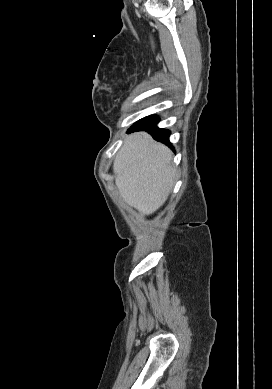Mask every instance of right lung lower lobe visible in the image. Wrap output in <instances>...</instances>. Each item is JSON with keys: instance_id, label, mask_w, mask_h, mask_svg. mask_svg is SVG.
<instances>
[{"instance_id": "obj_1", "label": "right lung lower lobe", "mask_w": 272, "mask_h": 389, "mask_svg": "<svg viewBox=\"0 0 272 389\" xmlns=\"http://www.w3.org/2000/svg\"><path fill=\"white\" fill-rule=\"evenodd\" d=\"M158 121L159 117L157 116H147L131 126L128 132L141 130L148 131L155 140L165 143L173 149L172 144L169 142L170 131L158 128L156 126Z\"/></svg>"}]
</instances>
